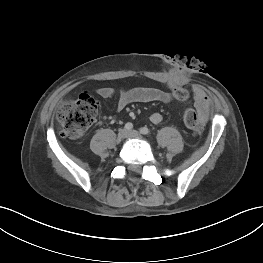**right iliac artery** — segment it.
I'll list each match as a JSON object with an SVG mask.
<instances>
[{"mask_svg": "<svg viewBox=\"0 0 263 263\" xmlns=\"http://www.w3.org/2000/svg\"><path fill=\"white\" fill-rule=\"evenodd\" d=\"M132 128H133V124L132 123L128 122V123L125 124V129L126 130H132Z\"/></svg>", "mask_w": 263, "mask_h": 263, "instance_id": "obj_1", "label": "right iliac artery"}]
</instances>
